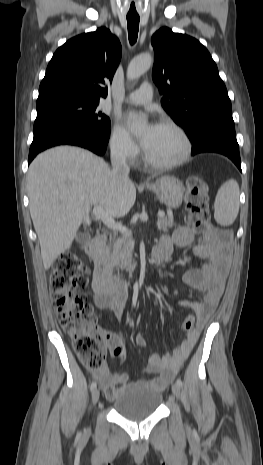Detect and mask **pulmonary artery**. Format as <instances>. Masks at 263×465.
<instances>
[{
  "label": "pulmonary artery",
  "mask_w": 263,
  "mask_h": 465,
  "mask_svg": "<svg viewBox=\"0 0 263 465\" xmlns=\"http://www.w3.org/2000/svg\"><path fill=\"white\" fill-rule=\"evenodd\" d=\"M152 97L153 87L150 83L145 82L137 90L127 95L124 101L134 105H143L149 103Z\"/></svg>",
  "instance_id": "1"
}]
</instances>
